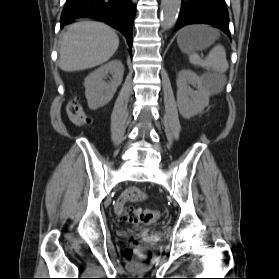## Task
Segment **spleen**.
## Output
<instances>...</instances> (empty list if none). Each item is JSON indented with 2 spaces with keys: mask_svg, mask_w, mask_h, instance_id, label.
Masks as SVG:
<instances>
[{
  "mask_svg": "<svg viewBox=\"0 0 279 279\" xmlns=\"http://www.w3.org/2000/svg\"><path fill=\"white\" fill-rule=\"evenodd\" d=\"M189 61L193 65L202 66L206 69H212L218 75V81L209 84L212 93H220L225 85L224 73L228 69L226 52L222 45L218 44L213 47L205 60L201 59L196 53L189 55Z\"/></svg>",
  "mask_w": 279,
  "mask_h": 279,
  "instance_id": "obj_1",
  "label": "spleen"
}]
</instances>
